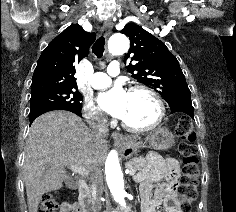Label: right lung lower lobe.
Here are the masks:
<instances>
[{
    "mask_svg": "<svg viewBox=\"0 0 236 212\" xmlns=\"http://www.w3.org/2000/svg\"><path fill=\"white\" fill-rule=\"evenodd\" d=\"M52 110H67V111H71L75 114H77L78 116H82L81 115V110H74V109H63V108H55V107H38L35 109H30V113H29V119H30V124L41 114L48 112V111H52Z\"/></svg>",
    "mask_w": 236,
    "mask_h": 212,
    "instance_id": "right-lung-lower-lobe-1",
    "label": "right lung lower lobe"
}]
</instances>
